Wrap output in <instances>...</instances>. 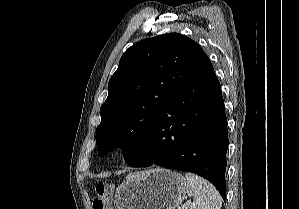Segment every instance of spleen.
<instances>
[{
  "mask_svg": "<svg viewBox=\"0 0 299 209\" xmlns=\"http://www.w3.org/2000/svg\"><path fill=\"white\" fill-rule=\"evenodd\" d=\"M185 178L186 192L193 197L189 209H221V196L210 182L190 172L185 173Z\"/></svg>",
  "mask_w": 299,
  "mask_h": 209,
  "instance_id": "spleen-1",
  "label": "spleen"
}]
</instances>
